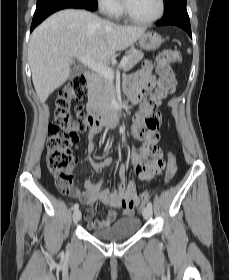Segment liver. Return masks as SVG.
Instances as JSON below:
<instances>
[{
    "label": "liver",
    "instance_id": "liver-1",
    "mask_svg": "<svg viewBox=\"0 0 229 280\" xmlns=\"http://www.w3.org/2000/svg\"><path fill=\"white\" fill-rule=\"evenodd\" d=\"M145 31L111 23L84 10L54 13L33 31L28 47L32 81L40 101L45 102L69 78L73 58L88 56L105 64Z\"/></svg>",
    "mask_w": 229,
    "mask_h": 280
}]
</instances>
